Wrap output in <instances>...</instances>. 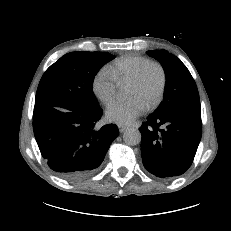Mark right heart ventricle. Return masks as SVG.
<instances>
[{
    "instance_id": "1",
    "label": "right heart ventricle",
    "mask_w": 231,
    "mask_h": 231,
    "mask_svg": "<svg viewBox=\"0 0 231 231\" xmlns=\"http://www.w3.org/2000/svg\"><path fill=\"white\" fill-rule=\"evenodd\" d=\"M150 59L138 55H126L116 59L107 69L115 79L118 86L129 85L139 69Z\"/></svg>"
}]
</instances>
